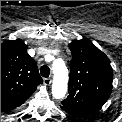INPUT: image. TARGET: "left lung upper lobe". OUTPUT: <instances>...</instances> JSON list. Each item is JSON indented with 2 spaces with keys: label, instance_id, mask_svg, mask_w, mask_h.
<instances>
[{
  "label": "left lung upper lobe",
  "instance_id": "5c2ea615",
  "mask_svg": "<svg viewBox=\"0 0 122 122\" xmlns=\"http://www.w3.org/2000/svg\"><path fill=\"white\" fill-rule=\"evenodd\" d=\"M72 65L69 95L62 106L83 117L101 109L112 91L113 70L105 53L88 40H74L69 44Z\"/></svg>",
  "mask_w": 122,
  "mask_h": 122
}]
</instances>
